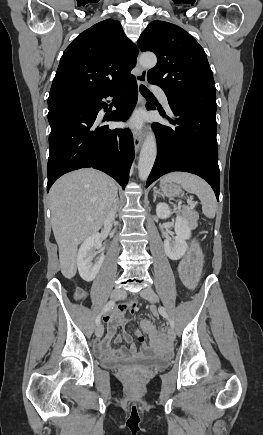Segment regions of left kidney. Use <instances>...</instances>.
Listing matches in <instances>:
<instances>
[{
	"instance_id": "obj_1",
	"label": "left kidney",
	"mask_w": 263,
	"mask_h": 435,
	"mask_svg": "<svg viewBox=\"0 0 263 435\" xmlns=\"http://www.w3.org/2000/svg\"><path fill=\"white\" fill-rule=\"evenodd\" d=\"M156 214L159 218L166 219L172 211L166 203H159L156 207ZM174 229L176 236L164 240V250L171 260H179L187 251L186 240L190 238L193 226L184 217L177 215Z\"/></svg>"
}]
</instances>
